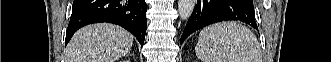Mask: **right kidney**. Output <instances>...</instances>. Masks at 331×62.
I'll return each instance as SVG.
<instances>
[{"label": "right kidney", "instance_id": "obj_1", "mask_svg": "<svg viewBox=\"0 0 331 62\" xmlns=\"http://www.w3.org/2000/svg\"><path fill=\"white\" fill-rule=\"evenodd\" d=\"M124 62H129V60H126V61H124Z\"/></svg>", "mask_w": 331, "mask_h": 62}]
</instances>
